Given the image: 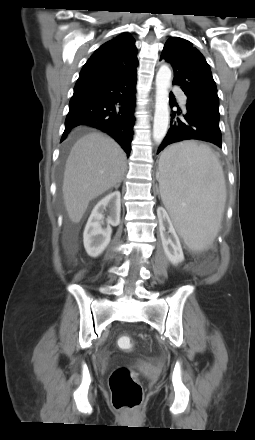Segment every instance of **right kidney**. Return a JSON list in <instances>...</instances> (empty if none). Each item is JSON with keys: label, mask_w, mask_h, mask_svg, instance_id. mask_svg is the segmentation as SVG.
<instances>
[{"label": "right kidney", "mask_w": 255, "mask_h": 440, "mask_svg": "<svg viewBox=\"0 0 255 440\" xmlns=\"http://www.w3.org/2000/svg\"><path fill=\"white\" fill-rule=\"evenodd\" d=\"M108 208L107 227L103 228L104 211ZM121 195L119 191L108 194L93 208L83 233V242L87 254L98 257L110 242L112 228L120 224Z\"/></svg>", "instance_id": "1"}]
</instances>
